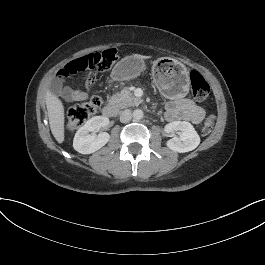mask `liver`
<instances>
[{"instance_id":"liver-1","label":"liver","mask_w":265,"mask_h":265,"mask_svg":"<svg viewBox=\"0 0 265 265\" xmlns=\"http://www.w3.org/2000/svg\"><path fill=\"white\" fill-rule=\"evenodd\" d=\"M134 57L140 59L150 58V56L139 54H135ZM45 99L51 132L57 142L62 143L64 141V107L58 97L49 90L46 92Z\"/></svg>"}]
</instances>
